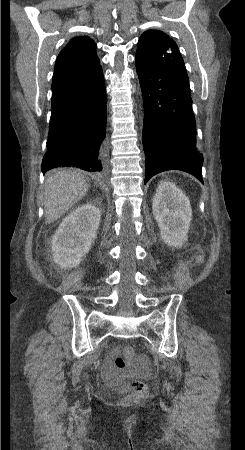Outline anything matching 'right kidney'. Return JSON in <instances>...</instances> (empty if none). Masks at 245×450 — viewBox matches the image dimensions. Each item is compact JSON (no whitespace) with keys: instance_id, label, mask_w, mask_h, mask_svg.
Wrapping results in <instances>:
<instances>
[{"instance_id":"right-kidney-1","label":"right kidney","mask_w":245,"mask_h":450,"mask_svg":"<svg viewBox=\"0 0 245 450\" xmlns=\"http://www.w3.org/2000/svg\"><path fill=\"white\" fill-rule=\"evenodd\" d=\"M101 211L83 204L64 218L52 238L53 259L61 268L80 264L96 238Z\"/></svg>"}]
</instances>
